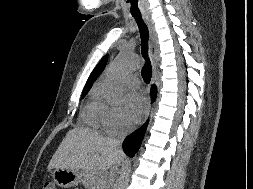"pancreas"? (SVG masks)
Listing matches in <instances>:
<instances>
[{
  "label": "pancreas",
  "instance_id": "1",
  "mask_svg": "<svg viewBox=\"0 0 253 189\" xmlns=\"http://www.w3.org/2000/svg\"><path fill=\"white\" fill-rule=\"evenodd\" d=\"M82 182L89 189H104L105 187L102 173L92 168L83 170Z\"/></svg>",
  "mask_w": 253,
  "mask_h": 189
}]
</instances>
